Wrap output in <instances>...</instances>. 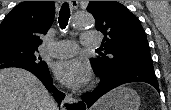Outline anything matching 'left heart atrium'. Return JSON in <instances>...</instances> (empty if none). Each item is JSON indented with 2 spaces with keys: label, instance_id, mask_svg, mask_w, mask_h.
<instances>
[{
  "label": "left heart atrium",
  "instance_id": "39dd6f15",
  "mask_svg": "<svg viewBox=\"0 0 171 110\" xmlns=\"http://www.w3.org/2000/svg\"><path fill=\"white\" fill-rule=\"evenodd\" d=\"M53 72L59 81L72 88L82 86L90 76L88 66L78 58L54 63Z\"/></svg>",
  "mask_w": 171,
  "mask_h": 110
}]
</instances>
